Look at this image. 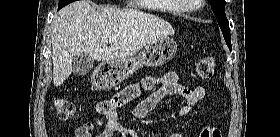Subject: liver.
I'll use <instances>...</instances> for the list:
<instances>
[{"label": "liver", "mask_w": 280, "mask_h": 137, "mask_svg": "<svg viewBox=\"0 0 280 137\" xmlns=\"http://www.w3.org/2000/svg\"><path fill=\"white\" fill-rule=\"evenodd\" d=\"M53 84L72 73L73 58L81 53L97 61L125 59L152 41L174 34L165 20L135 9L96 8L87 0L62 8L52 22ZM117 37L108 46L111 37Z\"/></svg>", "instance_id": "1"}]
</instances>
